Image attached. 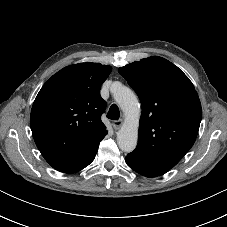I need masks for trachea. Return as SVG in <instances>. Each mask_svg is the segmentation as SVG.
Listing matches in <instances>:
<instances>
[{"label": "trachea", "instance_id": "1", "mask_svg": "<svg viewBox=\"0 0 227 227\" xmlns=\"http://www.w3.org/2000/svg\"><path fill=\"white\" fill-rule=\"evenodd\" d=\"M119 117H120V111L118 106L116 104H112L107 113V118L111 120H118Z\"/></svg>", "mask_w": 227, "mask_h": 227}]
</instances>
